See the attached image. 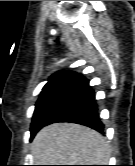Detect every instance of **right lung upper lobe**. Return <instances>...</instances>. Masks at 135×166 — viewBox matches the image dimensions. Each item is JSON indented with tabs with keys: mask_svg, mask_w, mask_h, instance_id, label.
I'll return each mask as SVG.
<instances>
[{
	"mask_svg": "<svg viewBox=\"0 0 135 166\" xmlns=\"http://www.w3.org/2000/svg\"><path fill=\"white\" fill-rule=\"evenodd\" d=\"M83 79H85L84 76L75 72L63 71L55 73L43 87L40 98L52 92L68 88L70 85L78 83Z\"/></svg>",
	"mask_w": 135,
	"mask_h": 166,
	"instance_id": "obj_1",
	"label": "right lung upper lobe"
}]
</instances>
